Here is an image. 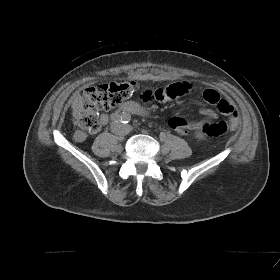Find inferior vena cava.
<instances>
[{
    "mask_svg": "<svg viewBox=\"0 0 280 280\" xmlns=\"http://www.w3.org/2000/svg\"><path fill=\"white\" fill-rule=\"evenodd\" d=\"M111 130L117 135H126L129 132L123 125L116 123L111 125Z\"/></svg>",
    "mask_w": 280,
    "mask_h": 280,
    "instance_id": "inferior-vena-cava-1",
    "label": "inferior vena cava"
}]
</instances>
